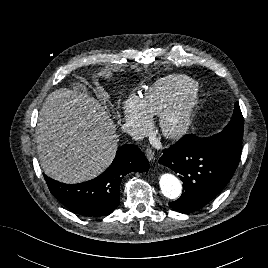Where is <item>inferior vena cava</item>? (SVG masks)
Returning a JSON list of instances; mask_svg holds the SVG:
<instances>
[{"label":"inferior vena cava","instance_id":"inferior-vena-cava-1","mask_svg":"<svg viewBox=\"0 0 268 268\" xmlns=\"http://www.w3.org/2000/svg\"><path fill=\"white\" fill-rule=\"evenodd\" d=\"M122 130H123L125 133L131 135L135 140H139V139L142 138V136H141V134L138 132V130H137L135 127H132V126H130V125H128V124H124V125L122 126Z\"/></svg>","mask_w":268,"mask_h":268}]
</instances>
